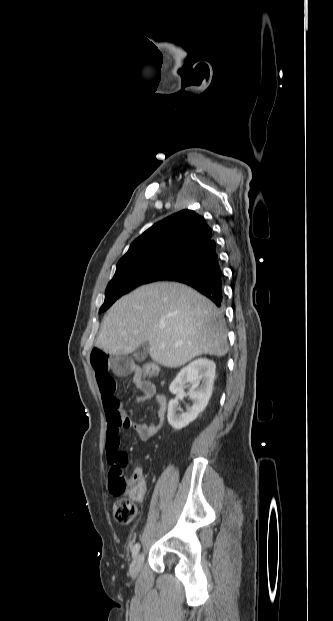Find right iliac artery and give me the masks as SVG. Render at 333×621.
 Segmentation results:
<instances>
[{
	"mask_svg": "<svg viewBox=\"0 0 333 621\" xmlns=\"http://www.w3.org/2000/svg\"><path fill=\"white\" fill-rule=\"evenodd\" d=\"M139 549H140V545H139V543H136L134 545L133 549H132V556L133 557H135L138 554Z\"/></svg>",
	"mask_w": 333,
	"mask_h": 621,
	"instance_id": "1",
	"label": "right iliac artery"
}]
</instances>
